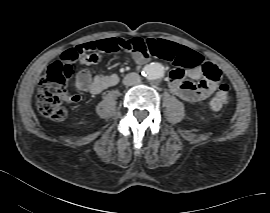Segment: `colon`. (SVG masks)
I'll return each mask as SVG.
<instances>
[{"label": "colon", "instance_id": "colon-1", "mask_svg": "<svg viewBox=\"0 0 270 213\" xmlns=\"http://www.w3.org/2000/svg\"><path fill=\"white\" fill-rule=\"evenodd\" d=\"M152 47L151 43L140 37L115 39L111 43L112 52L124 49L144 57L150 56L148 52ZM81 53L80 47L69 48L61 55L62 60L51 63L39 79L36 104L42 116L54 121H62L67 115L64 104L78 99V96L68 92L67 83L74 74L72 63L79 59ZM201 68L204 77L214 85H218L217 91L210 100V106L213 110L219 111L229 102V85L225 82L219 83L220 72L214 64L205 62Z\"/></svg>", "mask_w": 270, "mask_h": 213}]
</instances>
